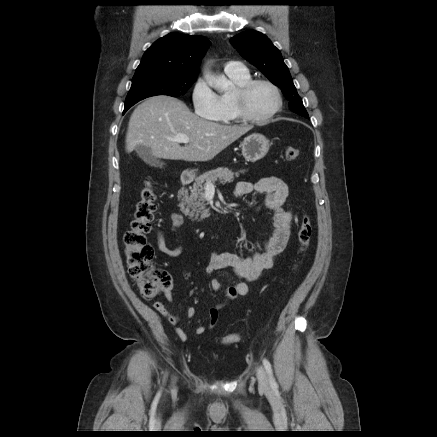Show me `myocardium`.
Here are the masks:
<instances>
[{
	"label": "myocardium",
	"mask_w": 437,
	"mask_h": 437,
	"mask_svg": "<svg viewBox=\"0 0 437 437\" xmlns=\"http://www.w3.org/2000/svg\"><path fill=\"white\" fill-rule=\"evenodd\" d=\"M260 84L267 85L273 90L276 97V105L269 114L262 117H257L249 112L247 101L252 89ZM234 104H235L236 112L242 121L248 123L260 124L270 121L281 111L283 105V99L280 89L275 83L267 79L258 78V79H250L249 81H247L246 83H244L243 85H241L235 90Z\"/></svg>",
	"instance_id": "obj_1"
}]
</instances>
